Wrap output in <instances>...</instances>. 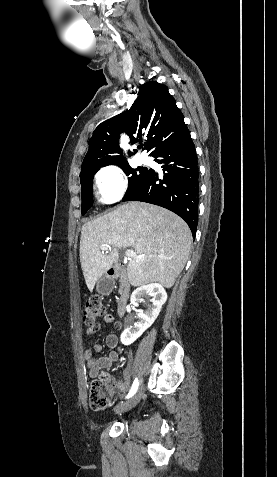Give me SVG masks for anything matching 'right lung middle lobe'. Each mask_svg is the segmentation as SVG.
<instances>
[{
	"instance_id": "dd1d6c3e",
	"label": "right lung middle lobe",
	"mask_w": 277,
	"mask_h": 477,
	"mask_svg": "<svg viewBox=\"0 0 277 477\" xmlns=\"http://www.w3.org/2000/svg\"><path fill=\"white\" fill-rule=\"evenodd\" d=\"M118 166L122 168L126 175H129V185L125 195L135 189L143 181L148 172V169L143 167L133 169L128 163L118 164ZM99 168L100 167H89L81 170L80 182L82 187V215H84L92 206V180L94 174L99 170Z\"/></svg>"
}]
</instances>
